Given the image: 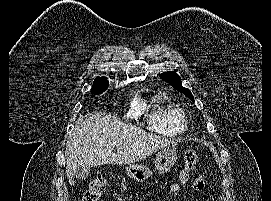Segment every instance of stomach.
Listing matches in <instances>:
<instances>
[{
  "mask_svg": "<svg viewBox=\"0 0 271 201\" xmlns=\"http://www.w3.org/2000/svg\"><path fill=\"white\" fill-rule=\"evenodd\" d=\"M177 160V150L172 147H167L156 155L155 168L159 173H165L175 164ZM126 174L137 182H144L152 172L148 166L143 164H130L125 168Z\"/></svg>",
  "mask_w": 271,
  "mask_h": 201,
  "instance_id": "obj_1",
  "label": "stomach"
}]
</instances>
